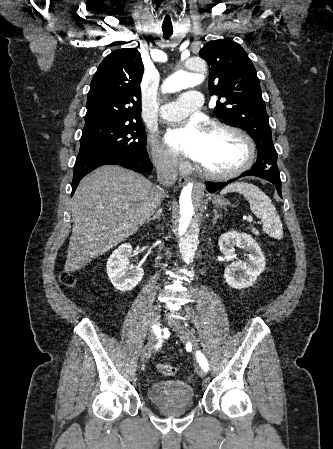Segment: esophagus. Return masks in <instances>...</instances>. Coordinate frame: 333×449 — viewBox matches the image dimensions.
Returning <instances> with one entry per match:
<instances>
[{"instance_id": "34e87169", "label": "esophagus", "mask_w": 333, "mask_h": 449, "mask_svg": "<svg viewBox=\"0 0 333 449\" xmlns=\"http://www.w3.org/2000/svg\"><path fill=\"white\" fill-rule=\"evenodd\" d=\"M188 182V179L185 177H180L179 178V184L180 185H185Z\"/></svg>"}]
</instances>
